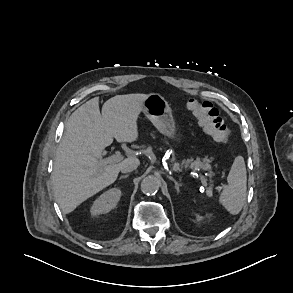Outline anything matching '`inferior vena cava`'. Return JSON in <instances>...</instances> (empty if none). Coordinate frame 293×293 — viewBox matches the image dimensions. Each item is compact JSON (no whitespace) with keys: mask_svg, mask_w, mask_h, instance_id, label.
I'll use <instances>...</instances> for the list:
<instances>
[{"mask_svg":"<svg viewBox=\"0 0 293 293\" xmlns=\"http://www.w3.org/2000/svg\"><path fill=\"white\" fill-rule=\"evenodd\" d=\"M138 165L139 164L135 161L126 162L121 165L120 171L122 173H129L136 170Z\"/></svg>","mask_w":293,"mask_h":293,"instance_id":"602c4592","label":"inferior vena cava"}]
</instances>
